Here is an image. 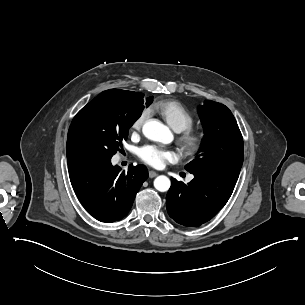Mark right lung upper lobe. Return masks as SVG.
<instances>
[{
	"mask_svg": "<svg viewBox=\"0 0 305 305\" xmlns=\"http://www.w3.org/2000/svg\"><path fill=\"white\" fill-rule=\"evenodd\" d=\"M139 94L141 93L119 89H110L99 94L96 98L93 99V102L117 105L123 102H129L136 98Z\"/></svg>",
	"mask_w": 305,
	"mask_h": 305,
	"instance_id": "1",
	"label": "right lung upper lobe"
}]
</instances>
